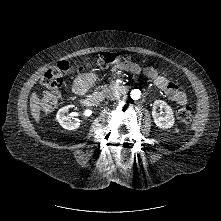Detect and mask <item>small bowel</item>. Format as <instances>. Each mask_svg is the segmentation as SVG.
Instances as JSON below:
<instances>
[{
  "mask_svg": "<svg viewBox=\"0 0 221 221\" xmlns=\"http://www.w3.org/2000/svg\"><path fill=\"white\" fill-rule=\"evenodd\" d=\"M132 71L138 73L140 68L136 64H130L127 66ZM121 68H124L121 66ZM143 73L147 76L152 84L162 92L168 95V97L178 103L181 104L182 102L186 101L187 98L183 91L173 83L172 81L168 80L164 76L158 74L153 68L146 67L143 69ZM96 77L94 74H85L80 76L73 86V90L78 95H84L87 93L88 88L94 84Z\"/></svg>",
  "mask_w": 221,
  "mask_h": 221,
  "instance_id": "1",
  "label": "small bowel"
}]
</instances>
